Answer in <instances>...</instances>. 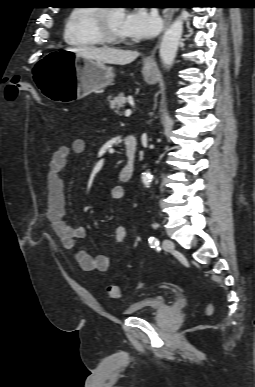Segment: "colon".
Wrapping results in <instances>:
<instances>
[{"label": "colon", "instance_id": "1", "mask_svg": "<svg viewBox=\"0 0 255 387\" xmlns=\"http://www.w3.org/2000/svg\"><path fill=\"white\" fill-rule=\"evenodd\" d=\"M22 92L28 93V95L33 99L37 98L36 91L29 84H26L19 79H10L6 84L4 91L5 99L10 103L15 102ZM107 292L108 295L113 299L120 298L122 294L121 288L118 285H109ZM212 310V305H208L206 313L211 314Z\"/></svg>", "mask_w": 255, "mask_h": 387}]
</instances>
